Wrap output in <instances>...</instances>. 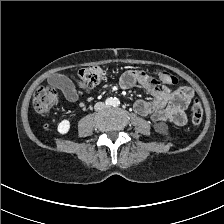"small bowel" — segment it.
<instances>
[{
	"label": "small bowel",
	"instance_id": "c3829d8e",
	"mask_svg": "<svg viewBox=\"0 0 224 224\" xmlns=\"http://www.w3.org/2000/svg\"><path fill=\"white\" fill-rule=\"evenodd\" d=\"M49 82L58 87L68 101L78 100V92L69 78L58 74L54 75ZM76 83L81 90L90 91L85 83L78 80ZM120 86L123 89L139 86L153 97L151 101L135 102L134 110L137 114L148 117L154 123L169 121L179 126L186 123L185 111L194 94L190 87L179 86L172 90L158 84L148 74L139 70L125 72L120 79Z\"/></svg>",
	"mask_w": 224,
	"mask_h": 224
}]
</instances>
